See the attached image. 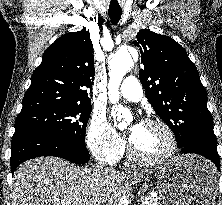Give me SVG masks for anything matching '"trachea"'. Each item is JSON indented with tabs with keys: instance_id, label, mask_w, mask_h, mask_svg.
<instances>
[{
	"instance_id": "1",
	"label": "trachea",
	"mask_w": 222,
	"mask_h": 205,
	"mask_svg": "<svg viewBox=\"0 0 222 205\" xmlns=\"http://www.w3.org/2000/svg\"><path fill=\"white\" fill-rule=\"evenodd\" d=\"M108 15L110 17V20L111 22L116 25L120 18H121V15H122V9L121 7H109L108 9Z\"/></svg>"
}]
</instances>
